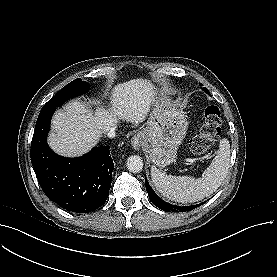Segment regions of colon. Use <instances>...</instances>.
<instances>
[{
	"label": "colon",
	"instance_id": "1",
	"mask_svg": "<svg viewBox=\"0 0 277 277\" xmlns=\"http://www.w3.org/2000/svg\"><path fill=\"white\" fill-rule=\"evenodd\" d=\"M222 128V117L217 105H210L204 111V119L199 132L189 144L190 151L195 157L207 153L211 145L218 139Z\"/></svg>",
	"mask_w": 277,
	"mask_h": 277
}]
</instances>
